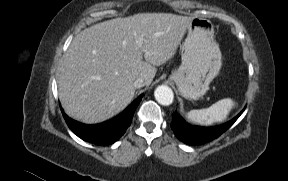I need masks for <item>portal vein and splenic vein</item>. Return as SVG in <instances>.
<instances>
[{
    "label": "portal vein and splenic vein",
    "instance_id": "18ae733b",
    "mask_svg": "<svg viewBox=\"0 0 288 181\" xmlns=\"http://www.w3.org/2000/svg\"><path fill=\"white\" fill-rule=\"evenodd\" d=\"M142 40H143V38H140V39H139V44H141Z\"/></svg>",
    "mask_w": 288,
    "mask_h": 181
}]
</instances>
